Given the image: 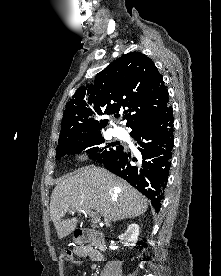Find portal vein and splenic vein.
<instances>
[{
    "mask_svg": "<svg viewBox=\"0 0 221 276\" xmlns=\"http://www.w3.org/2000/svg\"><path fill=\"white\" fill-rule=\"evenodd\" d=\"M81 212H87V214L89 216H91L92 218V223L96 224V223H100L101 217L99 215H96V213L92 212V211H84V210H80ZM72 213H74L75 211H71Z\"/></svg>",
    "mask_w": 221,
    "mask_h": 276,
    "instance_id": "obj_1",
    "label": "portal vein and splenic vein"
}]
</instances>
